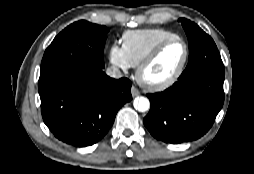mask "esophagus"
<instances>
[{"label":"esophagus","mask_w":254,"mask_h":174,"mask_svg":"<svg viewBox=\"0 0 254 174\" xmlns=\"http://www.w3.org/2000/svg\"><path fill=\"white\" fill-rule=\"evenodd\" d=\"M131 94H132L133 97H136V96L140 95V91H139V89L137 87L132 86V88H131Z\"/></svg>","instance_id":"obj_1"}]
</instances>
